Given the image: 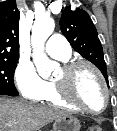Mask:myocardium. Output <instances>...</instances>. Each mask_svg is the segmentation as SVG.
Wrapping results in <instances>:
<instances>
[{
  "label": "myocardium",
  "instance_id": "myocardium-1",
  "mask_svg": "<svg viewBox=\"0 0 117 131\" xmlns=\"http://www.w3.org/2000/svg\"><path fill=\"white\" fill-rule=\"evenodd\" d=\"M88 68L90 69L95 76L98 78L100 85L102 87L103 90V94H104V104L103 107L98 110V111H94L89 109L88 107H86L83 103H81L73 94L72 89H71V79L73 74L76 72V70H78L79 68ZM62 76L59 79H55L53 82L55 84L56 90L59 94V96L68 104L76 107L77 109L89 113V114H93V115H97L102 113L103 111L106 110L108 104H109V90L106 84V81L102 75V73L100 72V70L94 66L92 63L87 62V61H72V62H68L65 63L62 68Z\"/></svg>",
  "mask_w": 117,
  "mask_h": 131
}]
</instances>
